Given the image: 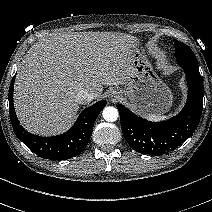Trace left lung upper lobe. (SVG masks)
<instances>
[{
    "instance_id": "obj_1",
    "label": "left lung upper lobe",
    "mask_w": 212,
    "mask_h": 212,
    "mask_svg": "<svg viewBox=\"0 0 212 212\" xmlns=\"http://www.w3.org/2000/svg\"><path fill=\"white\" fill-rule=\"evenodd\" d=\"M175 43V57L177 58H190L196 59L191 48L178 40H174Z\"/></svg>"
}]
</instances>
